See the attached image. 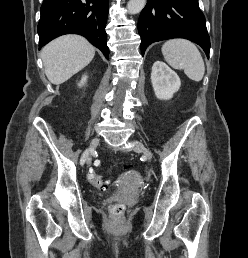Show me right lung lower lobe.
Instances as JSON below:
<instances>
[{
	"label": "right lung lower lobe",
	"mask_w": 248,
	"mask_h": 258,
	"mask_svg": "<svg viewBox=\"0 0 248 258\" xmlns=\"http://www.w3.org/2000/svg\"><path fill=\"white\" fill-rule=\"evenodd\" d=\"M38 24L39 46L63 34H79L109 58L105 26L108 0H44Z\"/></svg>",
	"instance_id": "obj_1"
}]
</instances>
